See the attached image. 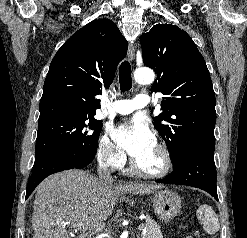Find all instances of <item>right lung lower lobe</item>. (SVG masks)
Returning <instances> with one entry per match:
<instances>
[{
	"label": "right lung lower lobe",
	"mask_w": 247,
	"mask_h": 238,
	"mask_svg": "<svg viewBox=\"0 0 247 238\" xmlns=\"http://www.w3.org/2000/svg\"><path fill=\"white\" fill-rule=\"evenodd\" d=\"M90 156H80L73 154H61L49 157L34 165L32 175L28 181L26 198L27 199L36 186L47 176L63 170L73 168H83L93 162Z\"/></svg>",
	"instance_id": "right-lung-lower-lobe-1"
}]
</instances>
